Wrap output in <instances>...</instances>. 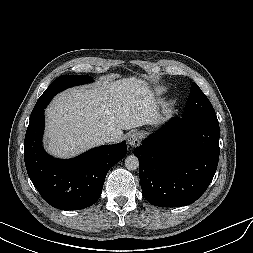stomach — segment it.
I'll use <instances>...</instances> for the list:
<instances>
[{
  "instance_id": "obj_1",
  "label": "stomach",
  "mask_w": 253,
  "mask_h": 253,
  "mask_svg": "<svg viewBox=\"0 0 253 253\" xmlns=\"http://www.w3.org/2000/svg\"><path fill=\"white\" fill-rule=\"evenodd\" d=\"M160 121H161V117L158 115L157 116V119H156V122H155V124H158V123H160ZM154 125V124H153Z\"/></svg>"
}]
</instances>
